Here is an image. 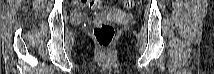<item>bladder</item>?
Segmentation results:
<instances>
[{"instance_id":"31cf9c89","label":"bladder","mask_w":214,"mask_h":74,"mask_svg":"<svg viewBox=\"0 0 214 74\" xmlns=\"http://www.w3.org/2000/svg\"><path fill=\"white\" fill-rule=\"evenodd\" d=\"M73 18H74L75 20H80V19L83 18V15H82L81 13H75V14L73 15Z\"/></svg>"}]
</instances>
